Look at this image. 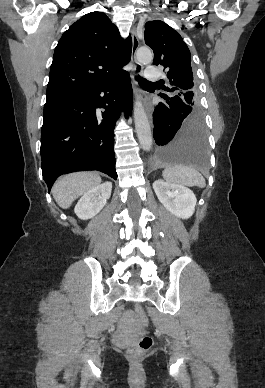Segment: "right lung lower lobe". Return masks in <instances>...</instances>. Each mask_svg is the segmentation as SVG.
Instances as JSON below:
<instances>
[{"label":"right lung lower lobe","mask_w":265,"mask_h":388,"mask_svg":"<svg viewBox=\"0 0 265 388\" xmlns=\"http://www.w3.org/2000/svg\"><path fill=\"white\" fill-rule=\"evenodd\" d=\"M132 104L126 71L106 84L45 104L40 152L49 190L57 177L74 171L98 170L117 179L114 128L121 109L128 117ZM97 107L104 112L97 114Z\"/></svg>","instance_id":"obj_1"}]
</instances>
